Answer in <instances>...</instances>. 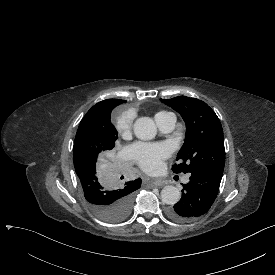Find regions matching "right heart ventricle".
Listing matches in <instances>:
<instances>
[{
    "instance_id": "right-heart-ventricle-1",
    "label": "right heart ventricle",
    "mask_w": 275,
    "mask_h": 275,
    "mask_svg": "<svg viewBox=\"0 0 275 275\" xmlns=\"http://www.w3.org/2000/svg\"><path fill=\"white\" fill-rule=\"evenodd\" d=\"M168 113H169V112H165V111L158 112V113L156 114L155 118H156V117H159V116H164V115H166V114H168Z\"/></svg>"
}]
</instances>
